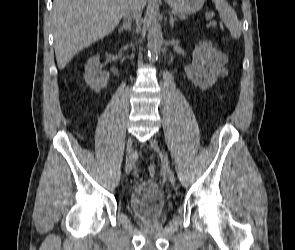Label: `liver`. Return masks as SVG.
<instances>
[{
  "instance_id": "1",
  "label": "liver",
  "mask_w": 295,
  "mask_h": 250,
  "mask_svg": "<svg viewBox=\"0 0 295 250\" xmlns=\"http://www.w3.org/2000/svg\"><path fill=\"white\" fill-rule=\"evenodd\" d=\"M147 0H140L141 9ZM128 0H54L52 26L56 60L63 69L75 54L110 34Z\"/></svg>"
}]
</instances>
